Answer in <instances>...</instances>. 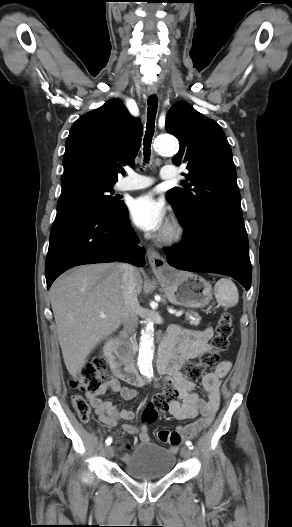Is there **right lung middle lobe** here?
I'll use <instances>...</instances> for the list:
<instances>
[{"instance_id":"right-lung-middle-lobe-1","label":"right lung middle lobe","mask_w":292,"mask_h":527,"mask_svg":"<svg viewBox=\"0 0 292 527\" xmlns=\"http://www.w3.org/2000/svg\"><path fill=\"white\" fill-rule=\"evenodd\" d=\"M62 191L58 205L65 202H77L93 206L110 215L119 214L125 204L112 196L113 185L86 177H76L61 182Z\"/></svg>"}]
</instances>
